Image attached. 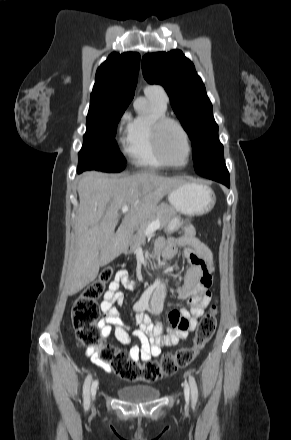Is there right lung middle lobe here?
Here are the masks:
<instances>
[{
    "label": "right lung middle lobe",
    "mask_w": 291,
    "mask_h": 440,
    "mask_svg": "<svg viewBox=\"0 0 291 440\" xmlns=\"http://www.w3.org/2000/svg\"><path fill=\"white\" fill-rule=\"evenodd\" d=\"M127 106L90 105L83 146L78 154V173L85 170L120 172L125 168V158L118 150L115 134Z\"/></svg>",
    "instance_id": "obj_1"
}]
</instances>
